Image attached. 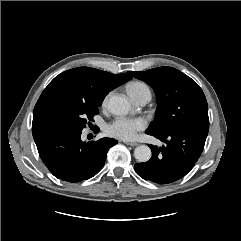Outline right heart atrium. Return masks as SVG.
I'll return each instance as SVG.
<instances>
[{
  "label": "right heart atrium",
  "mask_w": 241,
  "mask_h": 241,
  "mask_svg": "<svg viewBox=\"0 0 241 241\" xmlns=\"http://www.w3.org/2000/svg\"><path fill=\"white\" fill-rule=\"evenodd\" d=\"M110 95H111V93H108V94L104 97V99H103V101H102V105H103V106H106V105H107Z\"/></svg>",
  "instance_id": "obj_1"
}]
</instances>
